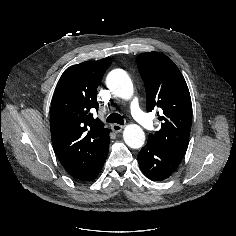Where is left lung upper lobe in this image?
<instances>
[{
    "label": "left lung upper lobe",
    "mask_w": 236,
    "mask_h": 236,
    "mask_svg": "<svg viewBox=\"0 0 236 236\" xmlns=\"http://www.w3.org/2000/svg\"><path fill=\"white\" fill-rule=\"evenodd\" d=\"M137 66L145 84L147 111L161 109V128L149 134L147 143L177 161L184 157L192 123L187 84L175 63L159 52L142 53Z\"/></svg>",
    "instance_id": "left-lung-upper-lobe-1"
}]
</instances>
